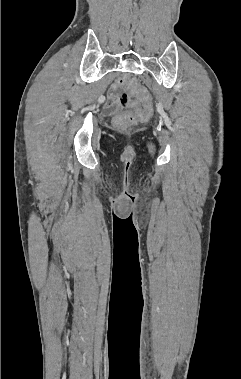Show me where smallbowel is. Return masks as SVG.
Listing matches in <instances>:
<instances>
[{
    "instance_id": "obj_1",
    "label": "small bowel",
    "mask_w": 241,
    "mask_h": 379,
    "mask_svg": "<svg viewBox=\"0 0 241 379\" xmlns=\"http://www.w3.org/2000/svg\"><path fill=\"white\" fill-rule=\"evenodd\" d=\"M118 93H116L114 90L109 94L108 100L106 103V108L112 109L114 108L116 104V99H117Z\"/></svg>"
}]
</instances>
